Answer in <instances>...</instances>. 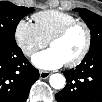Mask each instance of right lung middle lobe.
<instances>
[{"instance_id":"right-lung-middle-lobe-1","label":"right lung middle lobe","mask_w":102,"mask_h":102,"mask_svg":"<svg viewBox=\"0 0 102 102\" xmlns=\"http://www.w3.org/2000/svg\"><path fill=\"white\" fill-rule=\"evenodd\" d=\"M33 8L19 7L11 2H0V45L17 46L15 41V30L19 21Z\"/></svg>"}]
</instances>
